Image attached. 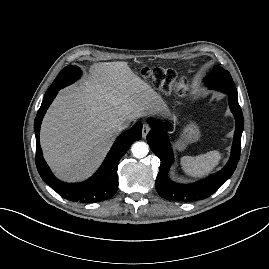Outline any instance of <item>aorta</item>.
I'll list each match as a JSON object with an SVG mask.
<instances>
[{
    "mask_svg": "<svg viewBox=\"0 0 269 269\" xmlns=\"http://www.w3.org/2000/svg\"><path fill=\"white\" fill-rule=\"evenodd\" d=\"M132 154L135 158H143L149 152V146L145 142H135L131 147Z\"/></svg>",
    "mask_w": 269,
    "mask_h": 269,
    "instance_id": "1",
    "label": "aorta"
}]
</instances>
